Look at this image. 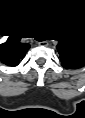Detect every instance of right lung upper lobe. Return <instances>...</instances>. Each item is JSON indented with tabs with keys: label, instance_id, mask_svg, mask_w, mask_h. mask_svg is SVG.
<instances>
[{
	"label": "right lung upper lobe",
	"instance_id": "1",
	"mask_svg": "<svg viewBox=\"0 0 85 118\" xmlns=\"http://www.w3.org/2000/svg\"><path fill=\"white\" fill-rule=\"evenodd\" d=\"M25 50L19 48H12L9 50L10 56V64L16 65L19 62V58H21L24 54Z\"/></svg>",
	"mask_w": 85,
	"mask_h": 118
}]
</instances>
